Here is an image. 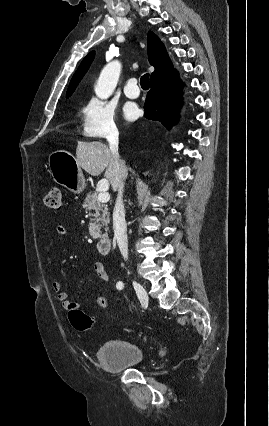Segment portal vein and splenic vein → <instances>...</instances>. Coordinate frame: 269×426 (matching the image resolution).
I'll list each match as a JSON object with an SVG mask.
<instances>
[{"mask_svg": "<svg viewBox=\"0 0 269 426\" xmlns=\"http://www.w3.org/2000/svg\"><path fill=\"white\" fill-rule=\"evenodd\" d=\"M107 189H108V187L107 188L104 187V186L101 187V192L98 195V201L99 202L106 203L110 200V195L107 192Z\"/></svg>", "mask_w": 269, "mask_h": 426, "instance_id": "obj_1", "label": "portal vein and splenic vein"}]
</instances>
